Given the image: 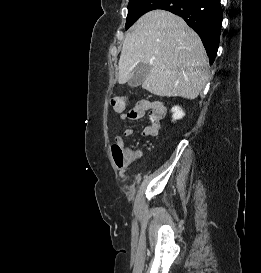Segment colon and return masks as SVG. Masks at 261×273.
Listing matches in <instances>:
<instances>
[{
    "instance_id": "5ec220e1",
    "label": "colon",
    "mask_w": 261,
    "mask_h": 273,
    "mask_svg": "<svg viewBox=\"0 0 261 273\" xmlns=\"http://www.w3.org/2000/svg\"><path fill=\"white\" fill-rule=\"evenodd\" d=\"M112 107L113 109L120 113L124 111L127 108L128 105V98L126 97H115L113 98L112 102ZM144 113V107L141 104V102H137L133 108H131L128 111V117L131 120H137L139 119ZM112 156L114 163L116 164L117 167L123 168L127 164V155L126 151L124 150L120 140H117L113 145H112Z\"/></svg>"
}]
</instances>
